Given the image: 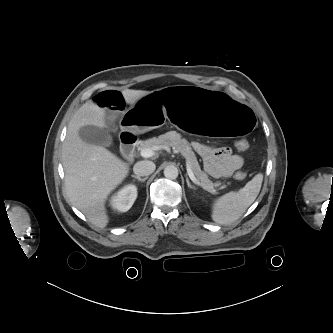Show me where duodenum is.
<instances>
[{
  "instance_id": "duodenum-1",
  "label": "duodenum",
  "mask_w": 333,
  "mask_h": 333,
  "mask_svg": "<svg viewBox=\"0 0 333 333\" xmlns=\"http://www.w3.org/2000/svg\"><path fill=\"white\" fill-rule=\"evenodd\" d=\"M137 144L138 138L133 133L123 132L121 134V150L128 160H131L134 157Z\"/></svg>"
}]
</instances>
